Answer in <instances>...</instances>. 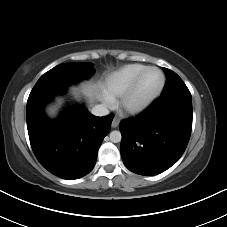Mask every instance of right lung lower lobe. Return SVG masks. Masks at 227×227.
Listing matches in <instances>:
<instances>
[{
  "label": "right lung lower lobe",
  "instance_id": "98d812e1",
  "mask_svg": "<svg viewBox=\"0 0 227 227\" xmlns=\"http://www.w3.org/2000/svg\"><path fill=\"white\" fill-rule=\"evenodd\" d=\"M65 90L27 101V129L32 150L41 165L57 177L72 180L94 168L113 115L96 117L78 106L63 112L58 119H49L45 105Z\"/></svg>",
  "mask_w": 227,
  "mask_h": 227
}]
</instances>
